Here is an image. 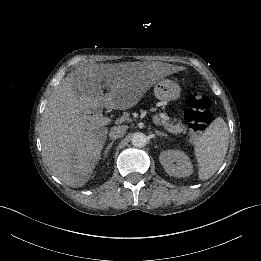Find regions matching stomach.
<instances>
[{"label": "stomach", "instance_id": "obj_1", "mask_svg": "<svg viewBox=\"0 0 261 261\" xmlns=\"http://www.w3.org/2000/svg\"><path fill=\"white\" fill-rule=\"evenodd\" d=\"M154 94L159 100L176 102L181 99L182 88L176 81L162 80L155 86Z\"/></svg>", "mask_w": 261, "mask_h": 261}]
</instances>
